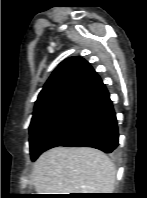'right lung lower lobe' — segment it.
I'll return each mask as SVG.
<instances>
[{"label":"right lung lower lobe","mask_w":147,"mask_h":198,"mask_svg":"<svg viewBox=\"0 0 147 198\" xmlns=\"http://www.w3.org/2000/svg\"><path fill=\"white\" fill-rule=\"evenodd\" d=\"M93 147L112 153L118 146L116 115L103 83L73 105L41 143L36 156L53 147Z\"/></svg>","instance_id":"right-lung-lower-lobe-1"}]
</instances>
